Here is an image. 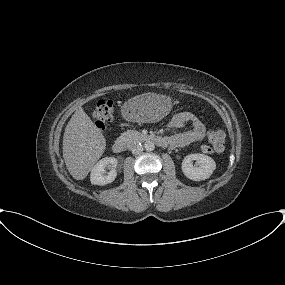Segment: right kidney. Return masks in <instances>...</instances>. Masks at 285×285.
Segmentation results:
<instances>
[{
  "mask_svg": "<svg viewBox=\"0 0 285 285\" xmlns=\"http://www.w3.org/2000/svg\"><path fill=\"white\" fill-rule=\"evenodd\" d=\"M116 166L117 159L115 157H105L101 159L91 170V184L104 186L113 182L117 176ZM106 167L111 168L107 175L105 170Z\"/></svg>",
  "mask_w": 285,
  "mask_h": 285,
  "instance_id": "right-kidney-1",
  "label": "right kidney"
}]
</instances>
